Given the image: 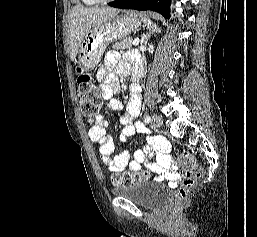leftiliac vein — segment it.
Instances as JSON below:
<instances>
[{
	"mask_svg": "<svg viewBox=\"0 0 257 237\" xmlns=\"http://www.w3.org/2000/svg\"><path fill=\"white\" fill-rule=\"evenodd\" d=\"M162 125V119L158 115H154L152 117V126L155 128H159Z\"/></svg>",
	"mask_w": 257,
	"mask_h": 237,
	"instance_id": "left-iliac-vein-1",
	"label": "left iliac vein"
}]
</instances>
